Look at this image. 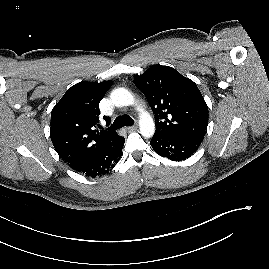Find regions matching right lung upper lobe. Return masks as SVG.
Returning a JSON list of instances; mask_svg holds the SVG:
<instances>
[{
    "label": "right lung upper lobe",
    "mask_w": 269,
    "mask_h": 269,
    "mask_svg": "<svg viewBox=\"0 0 269 269\" xmlns=\"http://www.w3.org/2000/svg\"><path fill=\"white\" fill-rule=\"evenodd\" d=\"M111 85L110 80L79 82L66 91L52 110L50 137L59 156L71 168L117 137L115 131L96 129L99 102ZM104 119L110 122V118Z\"/></svg>",
    "instance_id": "right-lung-upper-lobe-1"
}]
</instances>
